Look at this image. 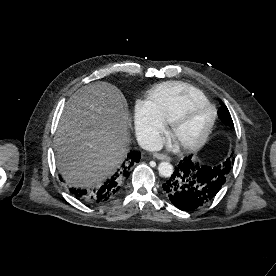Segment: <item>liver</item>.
I'll list each match as a JSON object with an SVG mask.
<instances>
[{
    "label": "liver",
    "mask_w": 276,
    "mask_h": 276,
    "mask_svg": "<svg viewBox=\"0 0 276 276\" xmlns=\"http://www.w3.org/2000/svg\"><path fill=\"white\" fill-rule=\"evenodd\" d=\"M130 117L120 91L95 82L66 102L54 149L61 175L76 188L93 187L109 177L129 150Z\"/></svg>",
    "instance_id": "1"
}]
</instances>
